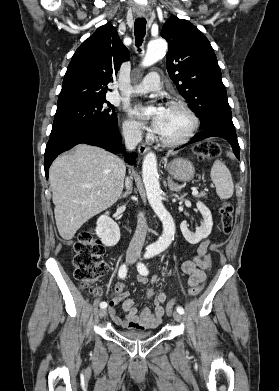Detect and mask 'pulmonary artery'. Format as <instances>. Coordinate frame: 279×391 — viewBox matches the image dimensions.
I'll list each match as a JSON object with an SVG mask.
<instances>
[{
  "mask_svg": "<svg viewBox=\"0 0 279 391\" xmlns=\"http://www.w3.org/2000/svg\"><path fill=\"white\" fill-rule=\"evenodd\" d=\"M161 82L160 76L157 72H151L145 76L142 82L135 86L132 90V94H144L149 92H156L160 89Z\"/></svg>",
  "mask_w": 279,
  "mask_h": 391,
  "instance_id": "obj_1",
  "label": "pulmonary artery"
}]
</instances>
